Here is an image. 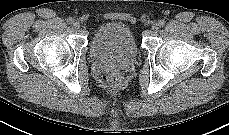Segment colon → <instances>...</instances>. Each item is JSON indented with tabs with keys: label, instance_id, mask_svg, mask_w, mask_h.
I'll list each match as a JSON object with an SVG mask.
<instances>
[{
	"label": "colon",
	"instance_id": "1",
	"mask_svg": "<svg viewBox=\"0 0 229 135\" xmlns=\"http://www.w3.org/2000/svg\"><path fill=\"white\" fill-rule=\"evenodd\" d=\"M107 82L111 87L117 88L122 83V77L118 73H111L107 77Z\"/></svg>",
	"mask_w": 229,
	"mask_h": 135
}]
</instances>
